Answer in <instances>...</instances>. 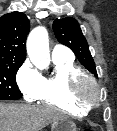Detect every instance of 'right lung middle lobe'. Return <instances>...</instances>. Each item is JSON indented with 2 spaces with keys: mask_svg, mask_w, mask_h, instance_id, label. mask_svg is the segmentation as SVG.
<instances>
[{
  "mask_svg": "<svg viewBox=\"0 0 117 131\" xmlns=\"http://www.w3.org/2000/svg\"><path fill=\"white\" fill-rule=\"evenodd\" d=\"M22 64H0V100H17L22 97L17 84L16 73Z\"/></svg>",
  "mask_w": 117,
  "mask_h": 131,
  "instance_id": "1",
  "label": "right lung middle lobe"
}]
</instances>
